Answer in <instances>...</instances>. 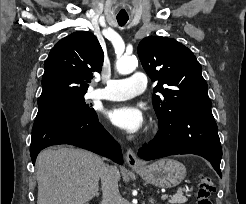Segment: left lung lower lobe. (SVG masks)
Here are the masks:
<instances>
[{
	"label": "left lung lower lobe",
	"instance_id": "1",
	"mask_svg": "<svg viewBox=\"0 0 246 204\" xmlns=\"http://www.w3.org/2000/svg\"><path fill=\"white\" fill-rule=\"evenodd\" d=\"M176 154H196L212 164L221 177L222 148L211 110L186 111L159 124L155 138L139 151L140 158L158 159Z\"/></svg>",
	"mask_w": 246,
	"mask_h": 204
}]
</instances>
